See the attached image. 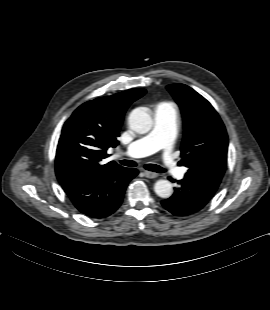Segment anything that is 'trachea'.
I'll return each mask as SVG.
<instances>
[{"mask_svg":"<svg viewBox=\"0 0 270 310\" xmlns=\"http://www.w3.org/2000/svg\"><path fill=\"white\" fill-rule=\"evenodd\" d=\"M120 163L124 166H128V167H136V163L134 161L131 160H121ZM145 169L149 170V171H153V172H157V173H164L167 170L155 165V164H147L144 166Z\"/></svg>","mask_w":270,"mask_h":310,"instance_id":"1","label":"trachea"}]
</instances>
